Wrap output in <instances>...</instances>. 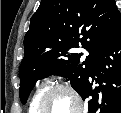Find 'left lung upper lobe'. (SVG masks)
I'll return each mask as SVG.
<instances>
[{"mask_svg": "<svg viewBox=\"0 0 121 113\" xmlns=\"http://www.w3.org/2000/svg\"><path fill=\"white\" fill-rule=\"evenodd\" d=\"M120 20L114 0H42L24 38L19 68L22 104L35 83L52 74L68 77L81 95L101 48ZM79 45L89 52L83 62L82 53L71 52Z\"/></svg>", "mask_w": 121, "mask_h": 113, "instance_id": "5c2ea615", "label": "left lung upper lobe"}]
</instances>
